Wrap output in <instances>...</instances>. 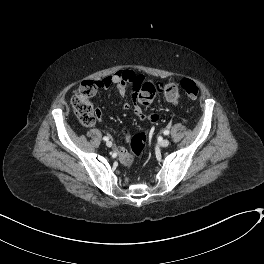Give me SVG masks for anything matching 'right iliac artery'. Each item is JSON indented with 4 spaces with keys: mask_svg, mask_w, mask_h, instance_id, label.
<instances>
[{
    "mask_svg": "<svg viewBox=\"0 0 264 264\" xmlns=\"http://www.w3.org/2000/svg\"><path fill=\"white\" fill-rule=\"evenodd\" d=\"M103 140L104 141H108L109 140V137L105 136V137H103Z\"/></svg>",
    "mask_w": 264,
    "mask_h": 264,
    "instance_id": "1",
    "label": "right iliac artery"
}]
</instances>
